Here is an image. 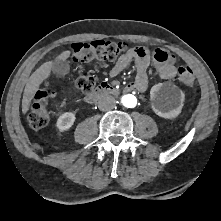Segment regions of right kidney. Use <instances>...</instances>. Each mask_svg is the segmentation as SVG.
I'll return each mask as SVG.
<instances>
[{
	"label": "right kidney",
	"instance_id": "ca27d5eb",
	"mask_svg": "<svg viewBox=\"0 0 221 221\" xmlns=\"http://www.w3.org/2000/svg\"><path fill=\"white\" fill-rule=\"evenodd\" d=\"M75 114L72 112H65L62 115L59 116L56 127L60 132H64L72 127V125L75 122Z\"/></svg>",
	"mask_w": 221,
	"mask_h": 221
}]
</instances>
